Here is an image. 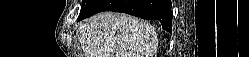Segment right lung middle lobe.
Masks as SVG:
<instances>
[{
    "label": "right lung middle lobe",
    "mask_w": 249,
    "mask_h": 57,
    "mask_svg": "<svg viewBox=\"0 0 249 57\" xmlns=\"http://www.w3.org/2000/svg\"><path fill=\"white\" fill-rule=\"evenodd\" d=\"M91 2V0H83L82 2V9L88 6V4Z\"/></svg>",
    "instance_id": "dd1d6c3e"
}]
</instances>
